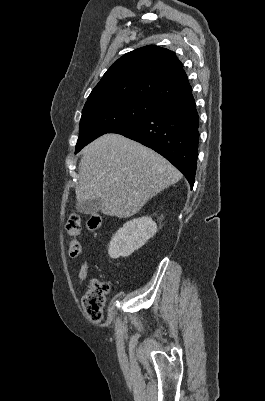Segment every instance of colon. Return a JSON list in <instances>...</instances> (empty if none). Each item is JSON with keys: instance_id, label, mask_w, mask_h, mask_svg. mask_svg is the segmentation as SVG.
I'll return each mask as SVG.
<instances>
[{"instance_id": "1", "label": "colon", "mask_w": 265, "mask_h": 401, "mask_svg": "<svg viewBox=\"0 0 265 401\" xmlns=\"http://www.w3.org/2000/svg\"><path fill=\"white\" fill-rule=\"evenodd\" d=\"M101 220L102 218L99 214H91L87 220L88 229L97 230L101 225ZM66 230L72 237L69 243V254L71 257H77L81 251V245L78 240L81 231V218L79 214H70L66 222ZM108 291L109 284L107 282L97 279L90 282V286L82 298V305L87 318L91 322L98 323L102 319Z\"/></svg>"}]
</instances>
